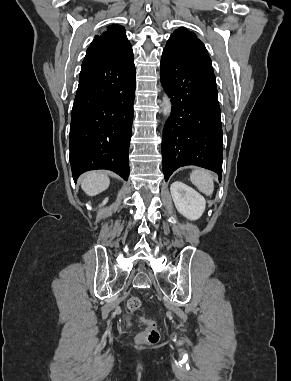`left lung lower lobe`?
I'll use <instances>...</instances> for the list:
<instances>
[{"instance_id":"left-lung-lower-lobe-1","label":"left lung lower lobe","mask_w":291,"mask_h":381,"mask_svg":"<svg viewBox=\"0 0 291 381\" xmlns=\"http://www.w3.org/2000/svg\"><path fill=\"white\" fill-rule=\"evenodd\" d=\"M161 83L172 111L163 129L165 181L179 167L196 165L222 175V127L216 78L163 51Z\"/></svg>"}]
</instances>
